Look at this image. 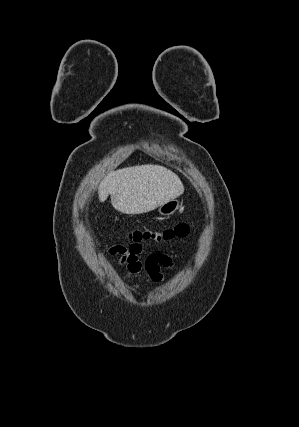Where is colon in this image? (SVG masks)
Listing matches in <instances>:
<instances>
[{
    "instance_id": "5ec220e1",
    "label": "colon",
    "mask_w": 299,
    "mask_h": 427,
    "mask_svg": "<svg viewBox=\"0 0 299 427\" xmlns=\"http://www.w3.org/2000/svg\"><path fill=\"white\" fill-rule=\"evenodd\" d=\"M190 227L186 223H177L172 226L162 228L157 231L149 230H134L127 235V240L130 242H146V241H167L175 238L185 237L189 234ZM122 246L113 248V252L124 251Z\"/></svg>"
}]
</instances>
